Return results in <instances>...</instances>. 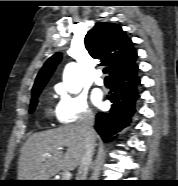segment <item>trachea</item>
<instances>
[{
	"label": "trachea",
	"mask_w": 178,
	"mask_h": 186,
	"mask_svg": "<svg viewBox=\"0 0 178 186\" xmlns=\"http://www.w3.org/2000/svg\"><path fill=\"white\" fill-rule=\"evenodd\" d=\"M107 72H108V69H107V68H104V69H103V73L106 75ZM106 78H107V77H106Z\"/></svg>",
	"instance_id": "3493384b"
}]
</instances>
